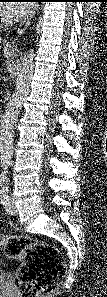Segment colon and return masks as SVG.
<instances>
[{"mask_svg":"<svg viewBox=\"0 0 107 297\" xmlns=\"http://www.w3.org/2000/svg\"><path fill=\"white\" fill-rule=\"evenodd\" d=\"M0 245L8 257L23 264L17 286L24 297H44L56 289L64 274L65 263L54 246L12 234H1Z\"/></svg>","mask_w":107,"mask_h":297,"instance_id":"colon-1","label":"colon"}]
</instances>
